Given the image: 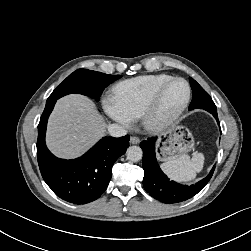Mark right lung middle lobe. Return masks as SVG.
Returning <instances> with one entry per match:
<instances>
[{"label":"right lung middle lobe","instance_id":"obj_1","mask_svg":"<svg viewBox=\"0 0 251 251\" xmlns=\"http://www.w3.org/2000/svg\"><path fill=\"white\" fill-rule=\"evenodd\" d=\"M121 76L108 75L87 69H78L70 74L48 97L47 102L71 93L87 95L99 100L103 90Z\"/></svg>","mask_w":251,"mask_h":251}]
</instances>
